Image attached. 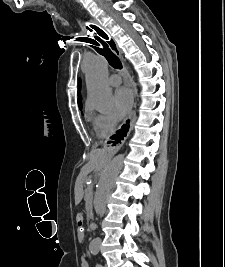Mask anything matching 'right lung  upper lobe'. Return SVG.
<instances>
[{
  "instance_id": "right-lung-upper-lobe-1",
  "label": "right lung upper lobe",
  "mask_w": 225,
  "mask_h": 267,
  "mask_svg": "<svg viewBox=\"0 0 225 267\" xmlns=\"http://www.w3.org/2000/svg\"><path fill=\"white\" fill-rule=\"evenodd\" d=\"M81 81L79 80V85H78V89L80 91V88H81ZM78 95L80 96V92H78ZM78 104H79V108L82 109V99H81V96L78 98Z\"/></svg>"
}]
</instances>
